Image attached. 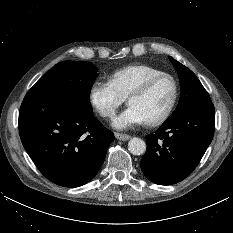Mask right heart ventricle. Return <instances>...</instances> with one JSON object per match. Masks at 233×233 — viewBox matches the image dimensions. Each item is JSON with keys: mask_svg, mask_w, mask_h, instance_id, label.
Returning <instances> with one entry per match:
<instances>
[{"mask_svg": "<svg viewBox=\"0 0 233 233\" xmlns=\"http://www.w3.org/2000/svg\"><path fill=\"white\" fill-rule=\"evenodd\" d=\"M163 73L160 69L147 64H131L114 71L110 81L125 97L146 78Z\"/></svg>", "mask_w": 233, "mask_h": 233, "instance_id": "e07e8e85", "label": "right heart ventricle"}]
</instances>
